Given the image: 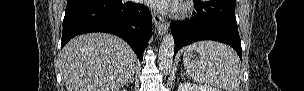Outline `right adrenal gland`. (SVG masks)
I'll use <instances>...</instances> for the list:
<instances>
[{"mask_svg": "<svg viewBox=\"0 0 304 91\" xmlns=\"http://www.w3.org/2000/svg\"><path fill=\"white\" fill-rule=\"evenodd\" d=\"M127 83H134V76H132Z\"/></svg>", "mask_w": 304, "mask_h": 91, "instance_id": "1", "label": "right adrenal gland"}]
</instances>
